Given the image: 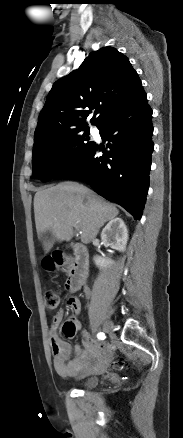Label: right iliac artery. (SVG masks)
Masks as SVG:
<instances>
[{
  "mask_svg": "<svg viewBox=\"0 0 183 438\" xmlns=\"http://www.w3.org/2000/svg\"><path fill=\"white\" fill-rule=\"evenodd\" d=\"M105 334L103 333V332H99L98 334H97V338L98 339H100V340H104L105 339Z\"/></svg>",
  "mask_w": 183,
  "mask_h": 438,
  "instance_id": "right-iliac-artery-1",
  "label": "right iliac artery"
}]
</instances>
